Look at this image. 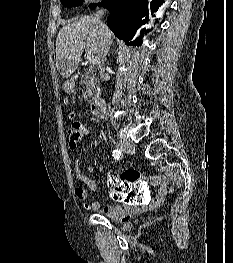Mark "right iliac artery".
<instances>
[{
	"label": "right iliac artery",
	"instance_id": "1",
	"mask_svg": "<svg viewBox=\"0 0 233 263\" xmlns=\"http://www.w3.org/2000/svg\"><path fill=\"white\" fill-rule=\"evenodd\" d=\"M112 156H113L114 159H120V157H121V151L118 150V149L113 150Z\"/></svg>",
	"mask_w": 233,
	"mask_h": 263
}]
</instances>
